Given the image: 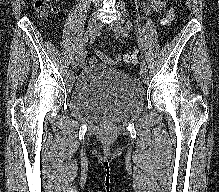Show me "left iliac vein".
<instances>
[{
  "instance_id": "left-iliac-vein-1",
  "label": "left iliac vein",
  "mask_w": 219,
  "mask_h": 192,
  "mask_svg": "<svg viewBox=\"0 0 219 192\" xmlns=\"http://www.w3.org/2000/svg\"><path fill=\"white\" fill-rule=\"evenodd\" d=\"M111 28L119 36L123 35L122 34L123 27H122V22L120 20H116V21L112 22L111 23ZM147 74H148V70H147L146 65H141L140 66V75L142 76L144 83L147 82Z\"/></svg>"
}]
</instances>
